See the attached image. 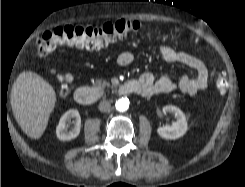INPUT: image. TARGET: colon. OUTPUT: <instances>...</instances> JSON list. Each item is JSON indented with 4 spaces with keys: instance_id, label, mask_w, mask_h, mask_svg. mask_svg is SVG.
I'll use <instances>...</instances> for the list:
<instances>
[{
    "instance_id": "obj_1",
    "label": "colon",
    "mask_w": 245,
    "mask_h": 187,
    "mask_svg": "<svg viewBox=\"0 0 245 187\" xmlns=\"http://www.w3.org/2000/svg\"><path fill=\"white\" fill-rule=\"evenodd\" d=\"M144 27L141 22L130 20H119L100 27H59L40 36L35 43V51L37 55L44 56L62 46L98 49L122 40L130 33L140 31ZM51 72L60 82V95L66 96L69 92V84L73 79L72 74L55 69H51ZM216 84L220 89L226 87V79L222 74L217 76Z\"/></svg>"
}]
</instances>
